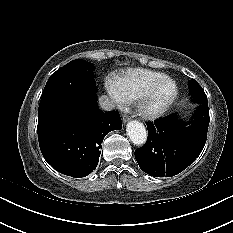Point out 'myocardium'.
Wrapping results in <instances>:
<instances>
[{"mask_svg": "<svg viewBox=\"0 0 233 233\" xmlns=\"http://www.w3.org/2000/svg\"><path fill=\"white\" fill-rule=\"evenodd\" d=\"M165 84L173 88L171 95L163 102L153 105L152 101L157 91ZM179 95L178 85L172 78L165 77L154 83L141 97L137 99V112L146 120H155L163 116L174 104Z\"/></svg>", "mask_w": 233, "mask_h": 233, "instance_id": "myocardium-1", "label": "myocardium"}]
</instances>
